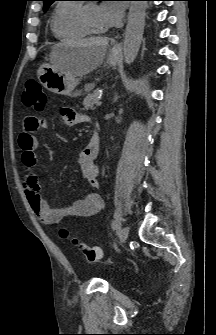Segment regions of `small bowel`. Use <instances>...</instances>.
Wrapping results in <instances>:
<instances>
[{"label": "small bowel", "mask_w": 216, "mask_h": 335, "mask_svg": "<svg viewBox=\"0 0 216 335\" xmlns=\"http://www.w3.org/2000/svg\"><path fill=\"white\" fill-rule=\"evenodd\" d=\"M60 116L68 125L87 120L82 115L74 114L73 109L69 107L61 108ZM43 127L44 123L40 118L28 117L24 120L23 130L18 138V145L22 153L21 160L25 169L24 189L33 212L45 225H60L67 218L88 217L99 213L103 208V202L97 193H91L81 200L63 206H51L44 199L35 173L37 133ZM99 148V138L92 135L85 148L77 156L83 177L92 187L98 186L99 169L95 161Z\"/></svg>", "instance_id": "obj_1"}]
</instances>
